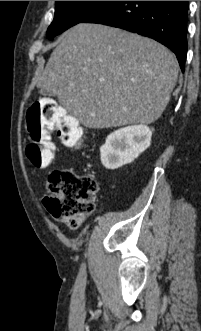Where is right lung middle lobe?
<instances>
[{
  "instance_id": "right-lung-middle-lobe-1",
  "label": "right lung middle lobe",
  "mask_w": 201,
  "mask_h": 331,
  "mask_svg": "<svg viewBox=\"0 0 201 331\" xmlns=\"http://www.w3.org/2000/svg\"><path fill=\"white\" fill-rule=\"evenodd\" d=\"M108 1H56L54 20L47 30L53 39L66 29L82 22Z\"/></svg>"
}]
</instances>
